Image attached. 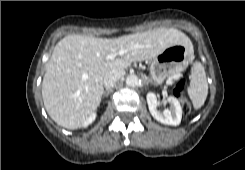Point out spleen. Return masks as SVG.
<instances>
[{
	"instance_id": "obj_1",
	"label": "spleen",
	"mask_w": 245,
	"mask_h": 170,
	"mask_svg": "<svg viewBox=\"0 0 245 170\" xmlns=\"http://www.w3.org/2000/svg\"><path fill=\"white\" fill-rule=\"evenodd\" d=\"M188 95L195 109L201 108L208 95V83L203 65L195 62L191 69Z\"/></svg>"
}]
</instances>
